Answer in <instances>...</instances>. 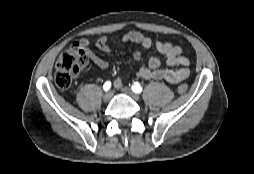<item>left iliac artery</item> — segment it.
Wrapping results in <instances>:
<instances>
[{"label":"left iliac artery","instance_id":"left-iliac-artery-1","mask_svg":"<svg viewBox=\"0 0 254 174\" xmlns=\"http://www.w3.org/2000/svg\"><path fill=\"white\" fill-rule=\"evenodd\" d=\"M132 91L135 93H141L142 92V87L138 82H135L132 87H131Z\"/></svg>","mask_w":254,"mask_h":174}]
</instances>
